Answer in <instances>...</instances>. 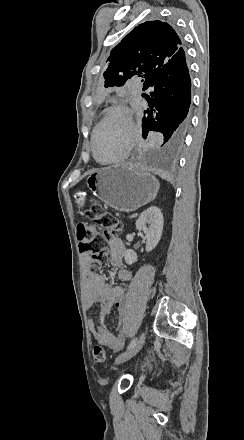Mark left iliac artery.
I'll list each match as a JSON object with an SVG mask.
<instances>
[{"label": "left iliac artery", "instance_id": "44dca946", "mask_svg": "<svg viewBox=\"0 0 244 440\" xmlns=\"http://www.w3.org/2000/svg\"><path fill=\"white\" fill-rule=\"evenodd\" d=\"M136 342H137V338L135 337V338H133V339L131 340V342H130L129 345L127 346V349L133 347V346L135 345Z\"/></svg>", "mask_w": 244, "mask_h": 440}]
</instances>
